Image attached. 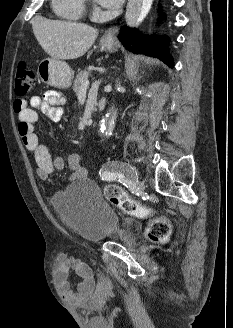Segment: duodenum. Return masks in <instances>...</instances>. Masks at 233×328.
Returning <instances> with one entry per match:
<instances>
[{"mask_svg": "<svg viewBox=\"0 0 233 328\" xmlns=\"http://www.w3.org/2000/svg\"><path fill=\"white\" fill-rule=\"evenodd\" d=\"M96 107L98 110H103L106 107V99L105 98H100L97 101Z\"/></svg>", "mask_w": 233, "mask_h": 328, "instance_id": "duodenum-1", "label": "duodenum"}]
</instances>
